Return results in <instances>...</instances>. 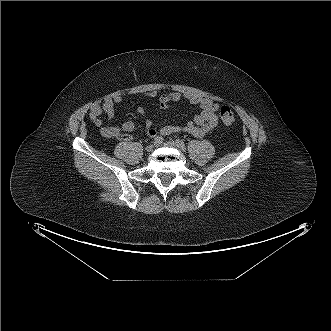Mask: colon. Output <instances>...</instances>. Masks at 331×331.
Returning <instances> with one entry per match:
<instances>
[{
  "label": "colon",
  "instance_id": "colon-1",
  "mask_svg": "<svg viewBox=\"0 0 331 331\" xmlns=\"http://www.w3.org/2000/svg\"><path fill=\"white\" fill-rule=\"evenodd\" d=\"M221 120L224 125L231 126L235 123V114L234 112L227 106H223L220 109Z\"/></svg>",
  "mask_w": 331,
  "mask_h": 331
}]
</instances>
